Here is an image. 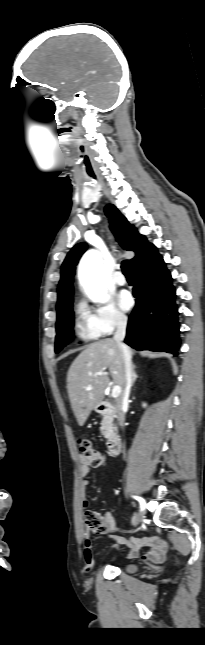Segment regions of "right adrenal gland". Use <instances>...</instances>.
I'll use <instances>...</instances> for the list:
<instances>
[{
    "label": "right adrenal gland",
    "instance_id": "right-adrenal-gland-1",
    "mask_svg": "<svg viewBox=\"0 0 205 645\" xmlns=\"http://www.w3.org/2000/svg\"><path fill=\"white\" fill-rule=\"evenodd\" d=\"M137 378H138V375L135 372V365H132V386L134 385Z\"/></svg>",
    "mask_w": 205,
    "mask_h": 645
}]
</instances>
